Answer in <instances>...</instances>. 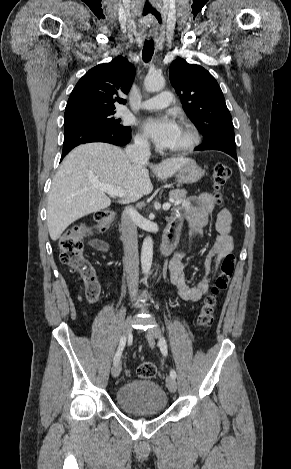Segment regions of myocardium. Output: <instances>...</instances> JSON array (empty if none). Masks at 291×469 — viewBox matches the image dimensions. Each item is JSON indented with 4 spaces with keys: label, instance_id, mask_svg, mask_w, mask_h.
I'll list each match as a JSON object with an SVG mask.
<instances>
[{
    "label": "myocardium",
    "instance_id": "f54148a6",
    "mask_svg": "<svg viewBox=\"0 0 291 469\" xmlns=\"http://www.w3.org/2000/svg\"><path fill=\"white\" fill-rule=\"evenodd\" d=\"M182 128H184L190 136L189 141L182 147L170 149V153L183 155L193 151L200 143V135L196 127L189 121L182 122Z\"/></svg>",
    "mask_w": 291,
    "mask_h": 469
}]
</instances>
